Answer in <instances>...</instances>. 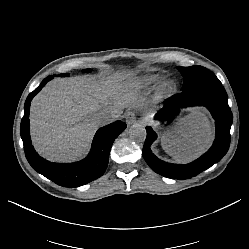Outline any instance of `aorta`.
<instances>
[{
	"label": "aorta",
	"instance_id": "aorta-1",
	"mask_svg": "<svg viewBox=\"0 0 249 249\" xmlns=\"http://www.w3.org/2000/svg\"><path fill=\"white\" fill-rule=\"evenodd\" d=\"M130 138L135 142H143L146 139V129L141 124H134L129 129Z\"/></svg>",
	"mask_w": 249,
	"mask_h": 249
}]
</instances>
